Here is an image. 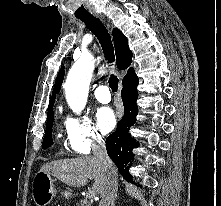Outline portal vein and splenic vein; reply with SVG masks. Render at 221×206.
Wrapping results in <instances>:
<instances>
[{
    "label": "portal vein and splenic vein",
    "mask_w": 221,
    "mask_h": 206,
    "mask_svg": "<svg viewBox=\"0 0 221 206\" xmlns=\"http://www.w3.org/2000/svg\"><path fill=\"white\" fill-rule=\"evenodd\" d=\"M87 197L94 199V198L96 197V194H95L94 191H89V192L87 193Z\"/></svg>",
    "instance_id": "portal-vein-and-splenic-vein-1"
}]
</instances>
